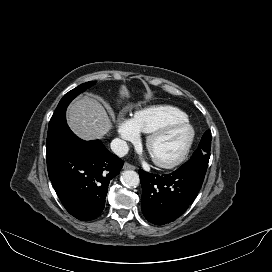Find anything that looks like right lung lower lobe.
Returning a JSON list of instances; mask_svg holds the SVG:
<instances>
[{
  "label": "right lung lower lobe",
  "instance_id": "98d812e1",
  "mask_svg": "<svg viewBox=\"0 0 272 272\" xmlns=\"http://www.w3.org/2000/svg\"><path fill=\"white\" fill-rule=\"evenodd\" d=\"M48 175L66 210L81 221L97 218L105 206L108 185L123 161L100 140L84 141L68 125L46 145Z\"/></svg>",
  "mask_w": 272,
  "mask_h": 272
}]
</instances>
